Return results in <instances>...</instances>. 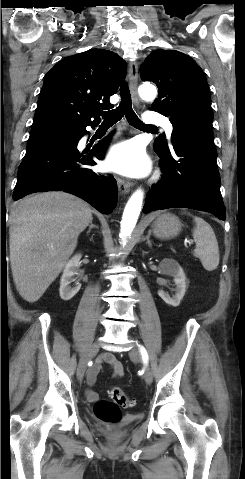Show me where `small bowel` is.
<instances>
[{
  "label": "small bowel",
  "mask_w": 245,
  "mask_h": 479,
  "mask_svg": "<svg viewBox=\"0 0 245 479\" xmlns=\"http://www.w3.org/2000/svg\"><path fill=\"white\" fill-rule=\"evenodd\" d=\"M103 363L111 366L113 377L119 378L123 376L124 368L122 364L119 361H117L112 354L105 353L101 356L100 360L96 364H94L89 370L88 377H87V383L89 386H92L94 384L97 375L102 370ZM86 396L90 401H95L98 398L97 393L91 389H87Z\"/></svg>",
  "instance_id": "obj_1"
}]
</instances>
